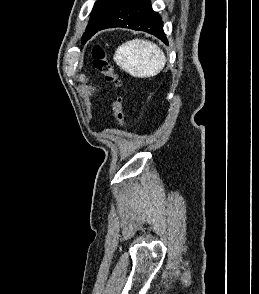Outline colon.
Returning <instances> with one entry per match:
<instances>
[{
	"mask_svg": "<svg viewBox=\"0 0 259 294\" xmlns=\"http://www.w3.org/2000/svg\"><path fill=\"white\" fill-rule=\"evenodd\" d=\"M92 57L94 67L104 75L108 82L112 83L117 89H120L122 82L100 45H96L93 48ZM112 109L117 124L123 126L125 124V114L123 112V98L121 95L115 98Z\"/></svg>",
	"mask_w": 259,
	"mask_h": 294,
	"instance_id": "5ec220e1",
	"label": "colon"
}]
</instances>
